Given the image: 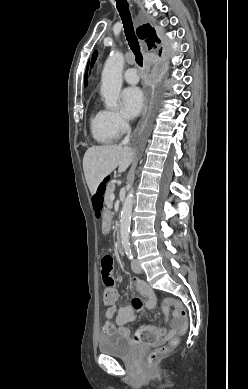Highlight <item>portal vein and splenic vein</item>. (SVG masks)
Returning <instances> with one entry per match:
<instances>
[{
	"label": "portal vein and splenic vein",
	"instance_id": "18ae733b",
	"mask_svg": "<svg viewBox=\"0 0 248 389\" xmlns=\"http://www.w3.org/2000/svg\"><path fill=\"white\" fill-rule=\"evenodd\" d=\"M110 198H111V201H113L114 198H115V197H114V194H112Z\"/></svg>",
	"mask_w": 248,
	"mask_h": 389
}]
</instances>
